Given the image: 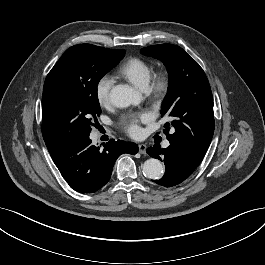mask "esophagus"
Returning <instances> with one entry per match:
<instances>
[{
  "instance_id": "1",
  "label": "esophagus",
  "mask_w": 265,
  "mask_h": 265,
  "mask_svg": "<svg viewBox=\"0 0 265 265\" xmlns=\"http://www.w3.org/2000/svg\"><path fill=\"white\" fill-rule=\"evenodd\" d=\"M146 149H147V146L145 144H139L138 145V151H139V153L145 154L146 153Z\"/></svg>"
}]
</instances>
